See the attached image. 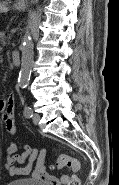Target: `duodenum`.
Wrapping results in <instances>:
<instances>
[{
  "instance_id": "duodenum-1",
  "label": "duodenum",
  "mask_w": 119,
  "mask_h": 185,
  "mask_svg": "<svg viewBox=\"0 0 119 185\" xmlns=\"http://www.w3.org/2000/svg\"><path fill=\"white\" fill-rule=\"evenodd\" d=\"M12 60H13V64L17 67H19L21 65V56L20 53L15 51L12 54Z\"/></svg>"
}]
</instances>
